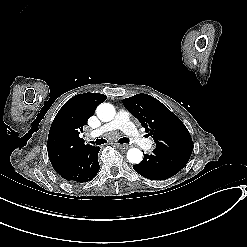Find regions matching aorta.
Wrapping results in <instances>:
<instances>
[{
    "mask_svg": "<svg viewBox=\"0 0 247 247\" xmlns=\"http://www.w3.org/2000/svg\"><path fill=\"white\" fill-rule=\"evenodd\" d=\"M96 114L101 121L108 122L114 118L115 108L110 103H102L97 107ZM127 159L130 163L139 164L143 159V153L137 148L129 149Z\"/></svg>",
    "mask_w": 247,
    "mask_h": 247,
    "instance_id": "aorta-1",
    "label": "aorta"
}]
</instances>
